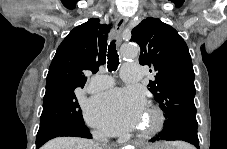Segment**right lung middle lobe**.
Masks as SVG:
<instances>
[{
  "label": "right lung middle lobe",
  "instance_id": "1",
  "mask_svg": "<svg viewBox=\"0 0 227 149\" xmlns=\"http://www.w3.org/2000/svg\"><path fill=\"white\" fill-rule=\"evenodd\" d=\"M77 87H55L47 89L43 99L40 127L84 123L78 103Z\"/></svg>",
  "mask_w": 227,
  "mask_h": 149
}]
</instances>
